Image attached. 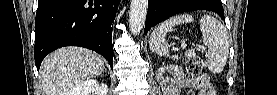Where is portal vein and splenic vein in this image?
<instances>
[{
    "mask_svg": "<svg viewBox=\"0 0 277 95\" xmlns=\"http://www.w3.org/2000/svg\"><path fill=\"white\" fill-rule=\"evenodd\" d=\"M181 47L182 48H186V44L185 43H181Z\"/></svg>",
    "mask_w": 277,
    "mask_h": 95,
    "instance_id": "obj_1",
    "label": "portal vein and splenic vein"
}]
</instances>
